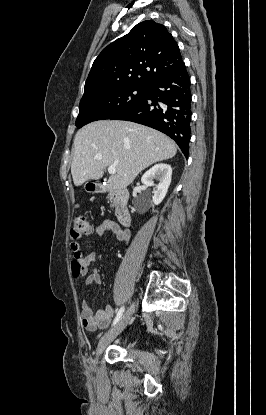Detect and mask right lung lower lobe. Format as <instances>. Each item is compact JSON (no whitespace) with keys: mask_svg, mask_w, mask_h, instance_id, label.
<instances>
[{"mask_svg":"<svg viewBox=\"0 0 266 415\" xmlns=\"http://www.w3.org/2000/svg\"><path fill=\"white\" fill-rule=\"evenodd\" d=\"M190 78L186 67L148 86L145 97L110 119L140 123L171 137L188 156L191 123Z\"/></svg>","mask_w":266,"mask_h":415,"instance_id":"1","label":"right lung lower lobe"}]
</instances>
